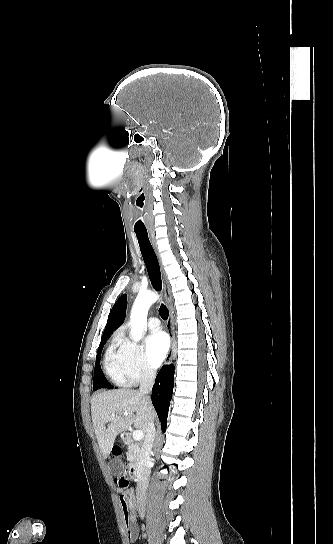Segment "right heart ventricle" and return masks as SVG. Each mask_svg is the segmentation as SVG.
<instances>
[{"instance_id": "right-heart-ventricle-1", "label": "right heart ventricle", "mask_w": 333, "mask_h": 544, "mask_svg": "<svg viewBox=\"0 0 333 544\" xmlns=\"http://www.w3.org/2000/svg\"><path fill=\"white\" fill-rule=\"evenodd\" d=\"M103 364L105 373L112 382L118 385L128 384L121 366L117 337L113 338L110 346L107 348Z\"/></svg>"}]
</instances>
